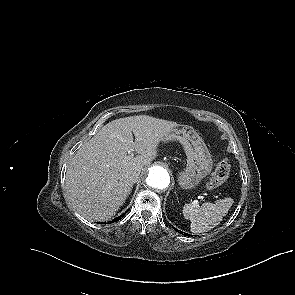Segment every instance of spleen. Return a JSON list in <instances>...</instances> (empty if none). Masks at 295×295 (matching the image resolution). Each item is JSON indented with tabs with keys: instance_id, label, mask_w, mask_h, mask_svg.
I'll use <instances>...</instances> for the list:
<instances>
[{
	"instance_id": "spleen-1",
	"label": "spleen",
	"mask_w": 295,
	"mask_h": 295,
	"mask_svg": "<svg viewBox=\"0 0 295 295\" xmlns=\"http://www.w3.org/2000/svg\"><path fill=\"white\" fill-rule=\"evenodd\" d=\"M233 203L230 197L217 200L215 203L205 202L201 206L193 201L184 205L182 213L184 218L191 222V232L203 233L219 225Z\"/></svg>"
}]
</instances>
